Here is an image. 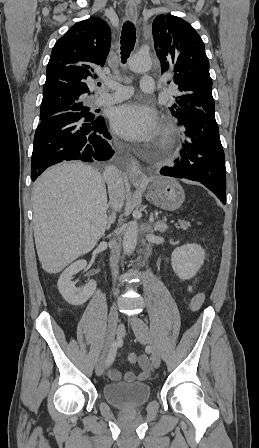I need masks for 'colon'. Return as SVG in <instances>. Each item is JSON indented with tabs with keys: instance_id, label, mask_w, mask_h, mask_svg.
<instances>
[{
	"instance_id": "1",
	"label": "colon",
	"mask_w": 259,
	"mask_h": 448,
	"mask_svg": "<svg viewBox=\"0 0 259 448\" xmlns=\"http://www.w3.org/2000/svg\"><path fill=\"white\" fill-rule=\"evenodd\" d=\"M128 360H129L131 363H136L137 361H139V357H138L135 353H131V354H129V356H128Z\"/></svg>"
}]
</instances>
